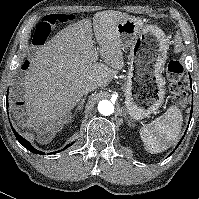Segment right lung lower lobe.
Listing matches in <instances>:
<instances>
[{
  "mask_svg": "<svg viewBox=\"0 0 199 199\" xmlns=\"http://www.w3.org/2000/svg\"><path fill=\"white\" fill-rule=\"evenodd\" d=\"M6 105L8 107V98H6ZM12 127V126H11ZM12 130H13V133L15 135V137L17 138V140L26 148L28 149L30 152L32 153H35V154H44V152L42 151H39L37 149H35L31 144L30 142H28L27 140H25L22 136H20L15 130L14 128L12 127ZM71 144L67 145L64 149L68 148ZM62 149V150H64ZM60 150V151H62ZM60 151H55V152H52L50 154H54V153H57V152H60Z\"/></svg>",
  "mask_w": 199,
  "mask_h": 199,
  "instance_id": "obj_1",
  "label": "right lung lower lobe"
}]
</instances>
